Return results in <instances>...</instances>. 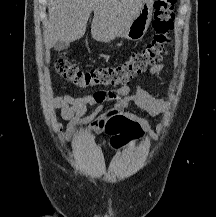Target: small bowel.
I'll use <instances>...</instances> for the list:
<instances>
[{"instance_id":"small-bowel-1","label":"small bowel","mask_w":216,"mask_h":217,"mask_svg":"<svg viewBox=\"0 0 216 217\" xmlns=\"http://www.w3.org/2000/svg\"><path fill=\"white\" fill-rule=\"evenodd\" d=\"M164 68L163 63L153 65L148 73L156 74ZM107 103L113 106L104 110ZM130 104H135L146 111L151 117H156L168 109V103L151 94L142 85L135 88L123 86L110 90H99L84 97L74 95L58 96L53 99V106L61 111V116L70 123L67 126L66 136L71 138L77 125L86 124L89 133L100 134L112 121L124 117L132 121L143 133L148 134L153 140H159L165 127L164 123L152 128L147 120L128 111ZM88 106L94 107L93 112L86 115Z\"/></svg>"}]
</instances>
